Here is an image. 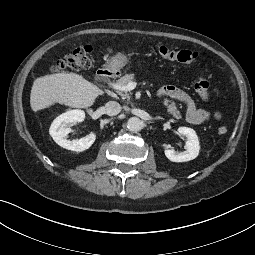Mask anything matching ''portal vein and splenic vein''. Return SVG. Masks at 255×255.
I'll list each match as a JSON object with an SVG mask.
<instances>
[{
    "instance_id": "1",
    "label": "portal vein and splenic vein",
    "mask_w": 255,
    "mask_h": 255,
    "mask_svg": "<svg viewBox=\"0 0 255 255\" xmlns=\"http://www.w3.org/2000/svg\"><path fill=\"white\" fill-rule=\"evenodd\" d=\"M110 86L118 91H131L136 87V83L135 82H129L127 85L123 86V85H119L117 83H110Z\"/></svg>"
}]
</instances>
